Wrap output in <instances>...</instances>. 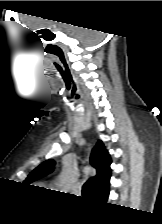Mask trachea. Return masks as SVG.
<instances>
[{"instance_id": "trachea-1", "label": "trachea", "mask_w": 162, "mask_h": 224, "mask_svg": "<svg viewBox=\"0 0 162 224\" xmlns=\"http://www.w3.org/2000/svg\"><path fill=\"white\" fill-rule=\"evenodd\" d=\"M89 186H90L89 182L84 183V185L82 187V193L83 194H87L88 193Z\"/></svg>"}]
</instances>
